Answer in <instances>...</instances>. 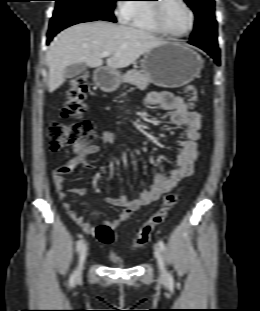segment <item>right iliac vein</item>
<instances>
[{
	"instance_id": "63e3f726",
	"label": "right iliac vein",
	"mask_w": 260,
	"mask_h": 311,
	"mask_svg": "<svg viewBox=\"0 0 260 311\" xmlns=\"http://www.w3.org/2000/svg\"><path fill=\"white\" fill-rule=\"evenodd\" d=\"M87 246H83L81 248L80 254H79V259H78V266H77V270H76V276L80 277L82 274V270H83V266L87 257Z\"/></svg>"
}]
</instances>
